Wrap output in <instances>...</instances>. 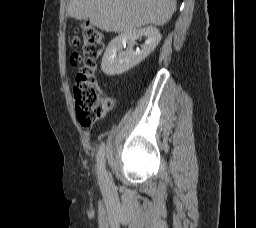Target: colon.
<instances>
[{
  "label": "colon",
  "instance_id": "1",
  "mask_svg": "<svg viewBox=\"0 0 256 228\" xmlns=\"http://www.w3.org/2000/svg\"><path fill=\"white\" fill-rule=\"evenodd\" d=\"M82 35L83 65L76 77L73 94L79 121L91 123L103 117L113 107V100L103 95L97 79V61L104 49L103 35L89 23L83 25ZM72 43L77 45L79 39L74 37ZM80 61L79 54L72 53L70 63L76 66Z\"/></svg>",
  "mask_w": 256,
  "mask_h": 228
}]
</instances>
